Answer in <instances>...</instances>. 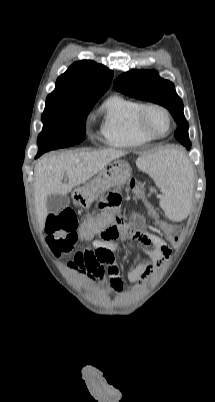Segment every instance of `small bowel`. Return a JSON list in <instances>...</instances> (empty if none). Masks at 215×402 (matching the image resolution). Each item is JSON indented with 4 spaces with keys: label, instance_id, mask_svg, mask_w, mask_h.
Listing matches in <instances>:
<instances>
[{
    "label": "small bowel",
    "instance_id": "small-bowel-1",
    "mask_svg": "<svg viewBox=\"0 0 215 402\" xmlns=\"http://www.w3.org/2000/svg\"><path fill=\"white\" fill-rule=\"evenodd\" d=\"M120 236L130 239L136 247V256L129 268V280L132 285L147 280L154 268L171 253L168 244L158 235L148 232L136 233L126 225L118 223L104 230L100 238L93 241L92 248L79 252L80 259L69 263V266L86 271L90 278L106 282L113 292L120 293L123 289V279L115 257L116 252L120 250ZM140 254L145 258H141Z\"/></svg>",
    "mask_w": 215,
    "mask_h": 402
}]
</instances>
